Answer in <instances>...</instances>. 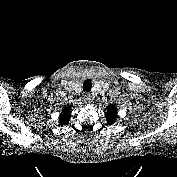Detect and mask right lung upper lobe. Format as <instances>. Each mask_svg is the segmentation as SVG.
I'll use <instances>...</instances> for the list:
<instances>
[{"mask_svg":"<svg viewBox=\"0 0 177 177\" xmlns=\"http://www.w3.org/2000/svg\"><path fill=\"white\" fill-rule=\"evenodd\" d=\"M72 105L65 106L62 113L59 116V122L61 125H66L69 123V119L71 117L70 110Z\"/></svg>","mask_w":177,"mask_h":177,"instance_id":"cb5924a9","label":"right lung upper lobe"}]
</instances>
